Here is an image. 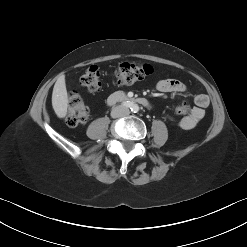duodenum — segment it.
<instances>
[{"instance_id":"obj_1","label":"duodenum","mask_w":247,"mask_h":247,"mask_svg":"<svg viewBox=\"0 0 247 247\" xmlns=\"http://www.w3.org/2000/svg\"><path fill=\"white\" fill-rule=\"evenodd\" d=\"M120 101H126V102L128 101L131 103H140V104H146L147 103V101L145 99H142V98L135 99L132 97H128L125 94L120 93V92L114 93V94L110 95V97L108 98L109 103H117Z\"/></svg>"}]
</instances>
